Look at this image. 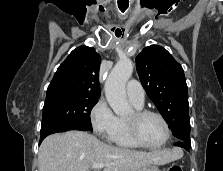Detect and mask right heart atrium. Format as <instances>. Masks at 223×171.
Returning a JSON list of instances; mask_svg holds the SVG:
<instances>
[{
	"mask_svg": "<svg viewBox=\"0 0 223 171\" xmlns=\"http://www.w3.org/2000/svg\"><path fill=\"white\" fill-rule=\"evenodd\" d=\"M89 117L94 133L102 139L110 140L117 129L118 118L104 99L94 104Z\"/></svg>",
	"mask_w": 223,
	"mask_h": 171,
	"instance_id": "d8ad5b80",
	"label": "right heart atrium"
}]
</instances>
